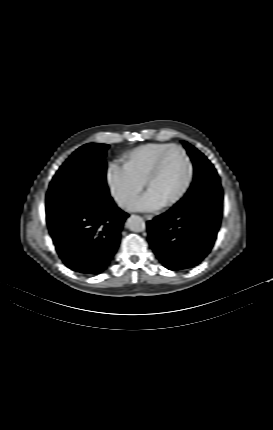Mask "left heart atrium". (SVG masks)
I'll return each mask as SVG.
<instances>
[{"instance_id": "1", "label": "left heart atrium", "mask_w": 273, "mask_h": 430, "mask_svg": "<svg viewBox=\"0 0 273 430\" xmlns=\"http://www.w3.org/2000/svg\"><path fill=\"white\" fill-rule=\"evenodd\" d=\"M164 203L150 190L133 203L131 208L140 211H152L161 208Z\"/></svg>"}]
</instances>
